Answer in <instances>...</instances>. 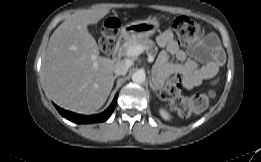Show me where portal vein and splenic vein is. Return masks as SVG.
<instances>
[{
	"instance_id": "18ae733b",
	"label": "portal vein and splenic vein",
	"mask_w": 261,
	"mask_h": 162,
	"mask_svg": "<svg viewBox=\"0 0 261 162\" xmlns=\"http://www.w3.org/2000/svg\"><path fill=\"white\" fill-rule=\"evenodd\" d=\"M144 50H148L147 47L143 46V45H135V46H131L129 48H127L125 50V55L128 57H134V56H138L141 53L144 52ZM154 61V56L152 54L148 55V62H153Z\"/></svg>"
}]
</instances>
